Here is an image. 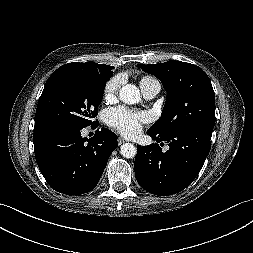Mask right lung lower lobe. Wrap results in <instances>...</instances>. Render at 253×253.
I'll return each mask as SVG.
<instances>
[{"label": "right lung lower lobe", "instance_id": "1", "mask_svg": "<svg viewBox=\"0 0 253 253\" xmlns=\"http://www.w3.org/2000/svg\"><path fill=\"white\" fill-rule=\"evenodd\" d=\"M80 130L64 124L34 128L39 169L54 190L67 195L93 190L118 146L116 134L106 128L89 139L83 138Z\"/></svg>", "mask_w": 253, "mask_h": 253}]
</instances>
